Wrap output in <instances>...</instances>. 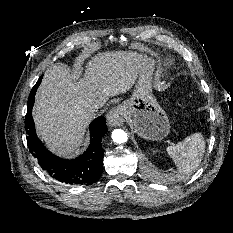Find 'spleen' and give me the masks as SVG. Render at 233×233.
Listing matches in <instances>:
<instances>
[{"instance_id":"1","label":"spleen","mask_w":233,"mask_h":233,"mask_svg":"<svg viewBox=\"0 0 233 233\" xmlns=\"http://www.w3.org/2000/svg\"><path fill=\"white\" fill-rule=\"evenodd\" d=\"M166 151L177 167L180 175L186 177L192 174L205 152V141L201 133H193L183 141L168 146Z\"/></svg>"}]
</instances>
